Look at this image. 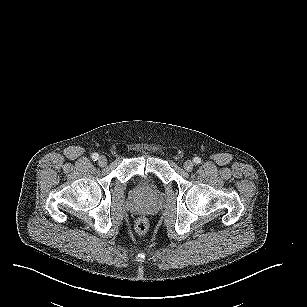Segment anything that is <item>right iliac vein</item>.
Returning <instances> with one entry per match:
<instances>
[{
	"mask_svg": "<svg viewBox=\"0 0 307 307\" xmlns=\"http://www.w3.org/2000/svg\"><path fill=\"white\" fill-rule=\"evenodd\" d=\"M99 166L104 167L107 164V158L105 156H101L98 161Z\"/></svg>",
	"mask_w": 307,
	"mask_h": 307,
	"instance_id": "right-iliac-vein-1",
	"label": "right iliac vein"
}]
</instances>
